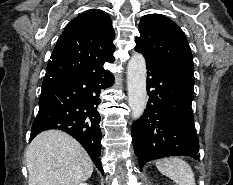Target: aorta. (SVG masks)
Listing matches in <instances>:
<instances>
[{
    "label": "aorta",
    "mask_w": 233,
    "mask_h": 185,
    "mask_svg": "<svg viewBox=\"0 0 233 185\" xmlns=\"http://www.w3.org/2000/svg\"><path fill=\"white\" fill-rule=\"evenodd\" d=\"M128 103L133 120L141 117L146 107V62L142 54L134 53L127 67Z\"/></svg>",
    "instance_id": "obj_1"
}]
</instances>
